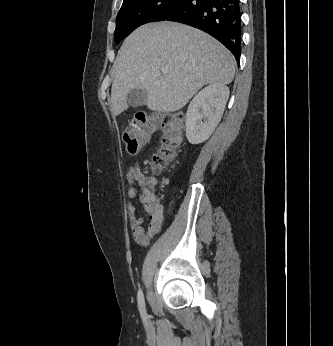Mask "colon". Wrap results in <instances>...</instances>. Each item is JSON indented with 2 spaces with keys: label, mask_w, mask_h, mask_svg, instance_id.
<instances>
[{
  "label": "colon",
  "mask_w": 333,
  "mask_h": 346,
  "mask_svg": "<svg viewBox=\"0 0 333 346\" xmlns=\"http://www.w3.org/2000/svg\"><path fill=\"white\" fill-rule=\"evenodd\" d=\"M182 117V114L179 112L164 117L154 113H136L134 119L123 133V140L128 153L136 154L142 150L150 137L161 128V145L158 152L152 156L150 166L154 171L165 169L176 158L177 151L182 143ZM155 184V180L146 179L143 191L147 197L153 193Z\"/></svg>",
  "instance_id": "5ec220e1"
}]
</instances>
